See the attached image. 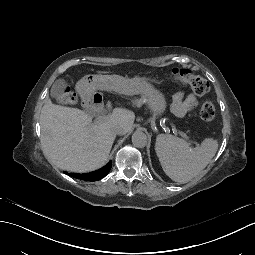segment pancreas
<instances>
[{
	"mask_svg": "<svg viewBox=\"0 0 255 255\" xmlns=\"http://www.w3.org/2000/svg\"><path fill=\"white\" fill-rule=\"evenodd\" d=\"M132 102H133V105H135L137 107H141V105L143 104L142 99H135Z\"/></svg>",
	"mask_w": 255,
	"mask_h": 255,
	"instance_id": "1",
	"label": "pancreas"
}]
</instances>
